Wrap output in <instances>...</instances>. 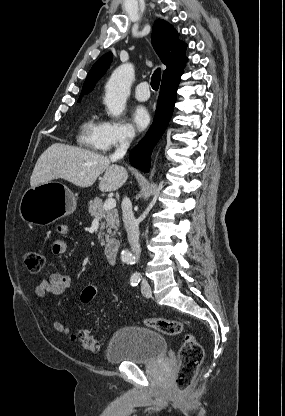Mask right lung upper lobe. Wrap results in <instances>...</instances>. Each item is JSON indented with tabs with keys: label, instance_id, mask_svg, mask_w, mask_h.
<instances>
[{
	"label": "right lung upper lobe",
	"instance_id": "cb5924a9",
	"mask_svg": "<svg viewBox=\"0 0 285 416\" xmlns=\"http://www.w3.org/2000/svg\"><path fill=\"white\" fill-rule=\"evenodd\" d=\"M152 44L162 63L167 66V69L163 72L162 82L181 75L183 64L186 61L185 50L187 44L178 40V33L172 25L161 19L156 20L153 26ZM111 62V53L99 58L88 73L81 96L89 93L94 88L95 83L104 75Z\"/></svg>",
	"mask_w": 285,
	"mask_h": 416
}]
</instances>
